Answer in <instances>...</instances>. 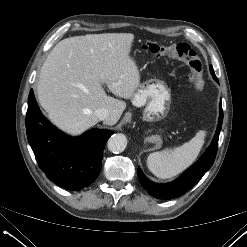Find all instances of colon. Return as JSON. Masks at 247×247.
Returning <instances> with one entry per match:
<instances>
[{"mask_svg": "<svg viewBox=\"0 0 247 247\" xmlns=\"http://www.w3.org/2000/svg\"><path fill=\"white\" fill-rule=\"evenodd\" d=\"M144 49L158 57H168L186 63L190 69V84L199 92L203 88V65L197 52L186 43L172 45L147 44Z\"/></svg>", "mask_w": 247, "mask_h": 247, "instance_id": "1", "label": "colon"}]
</instances>
